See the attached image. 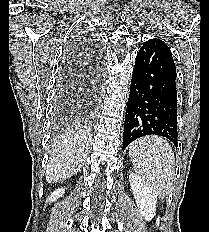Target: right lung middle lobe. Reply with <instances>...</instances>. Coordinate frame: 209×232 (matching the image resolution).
Wrapping results in <instances>:
<instances>
[{"instance_id": "obj_1", "label": "right lung middle lobe", "mask_w": 209, "mask_h": 232, "mask_svg": "<svg viewBox=\"0 0 209 232\" xmlns=\"http://www.w3.org/2000/svg\"><path fill=\"white\" fill-rule=\"evenodd\" d=\"M55 124L59 129H65L69 124L74 122L72 119L73 104L66 93V86L62 87L60 95L56 104ZM73 105V106H72Z\"/></svg>"}]
</instances>
